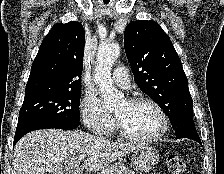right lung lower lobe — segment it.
<instances>
[{
    "label": "right lung lower lobe",
    "mask_w": 224,
    "mask_h": 174,
    "mask_svg": "<svg viewBox=\"0 0 224 174\" xmlns=\"http://www.w3.org/2000/svg\"><path fill=\"white\" fill-rule=\"evenodd\" d=\"M79 122L77 123H68V124H55V125H47V124H41V123H26L17 126L15 138H14V144L17 143V141L27 134L28 132L39 130V129H46V128H57V129H63V130H73L79 126Z\"/></svg>",
    "instance_id": "right-lung-lower-lobe-1"
}]
</instances>
